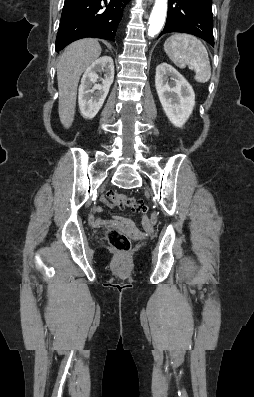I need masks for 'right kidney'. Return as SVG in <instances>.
Here are the masks:
<instances>
[{
	"label": "right kidney",
	"mask_w": 254,
	"mask_h": 397,
	"mask_svg": "<svg viewBox=\"0 0 254 397\" xmlns=\"http://www.w3.org/2000/svg\"><path fill=\"white\" fill-rule=\"evenodd\" d=\"M98 72H104L102 84H96ZM114 80V63L109 56L95 60L84 72L79 86L78 102L81 114L88 119L96 116L102 107Z\"/></svg>",
	"instance_id": "1"
}]
</instances>
